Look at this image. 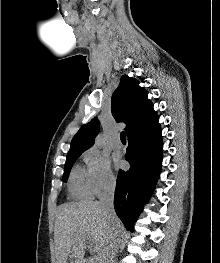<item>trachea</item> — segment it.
Here are the masks:
<instances>
[{
    "label": "trachea",
    "mask_w": 220,
    "mask_h": 263,
    "mask_svg": "<svg viewBox=\"0 0 220 263\" xmlns=\"http://www.w3.org/2000/svg\"><path fill=\"white\" fill-rule=\"evenodd\" d=\"M120 138H121V141L124 143V142H126V132H121V134H120Z\"/></svg>",
    "instance_id": "obj_1"
}]
</instances>
